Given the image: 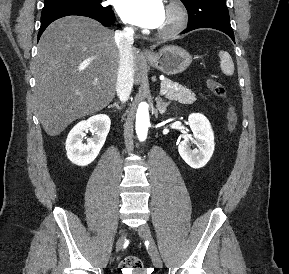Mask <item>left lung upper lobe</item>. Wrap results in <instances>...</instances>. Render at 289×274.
<instances>
[{
  "instance_id": "left-lung-upper-lobe-1",
  "label": "left lung upper lobe",
  "mask_w": 289,
  "mask_h": 274,
  "mask_svg": "<svg viewBox=\"0 0 289 274\" xmlns=\"http://www.w3.org/2000/svg\"><path fill=\"white\" fill-rule=\"evenodd\" d=\"M188 11L189 25L205 21L230 22L226 0H181Z\"/></svg>"
}]
</instances>
